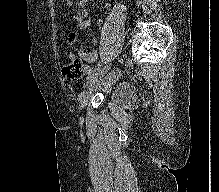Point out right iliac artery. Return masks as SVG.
Wrapping results in <instances>:
<instances>
[{
	"label": "right iliac artery",
	"mask_w": 219,
	"mask_h": 192,
	"mask_svg": "<svg viewBox=\"0 0 219 192\" xmlns=\"http://www.w3.org/2000/svg\"><path fill=\"white\" fill-rule=\"evenodd\" d=\"M101 67V62L97 64V66L90 72L89 77H91L96 71H98Z\"/></svg>",
	"instance_id": "82829eb1"
}]
</instances>
